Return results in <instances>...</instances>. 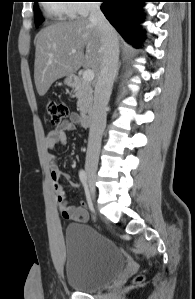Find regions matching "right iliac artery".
I'll return each instance as SVG.
<instances>
[{
  "mask_svg": "<svg viewBox=\"0 0 195 299\" xmlns=\"http://www.w3.org/2000/svg\"><path fill=\"white\" fill-rule=\"evenodd\" d=\"M79 178L82 184L85 186L87 184V174L84 170L79 171Z\"/></svg>",
  "mask_w": 195,
  "mask_h": 299,
  "instance_id": "82829eb1",
  "label": "right iliac artery"
}]
</instances>
